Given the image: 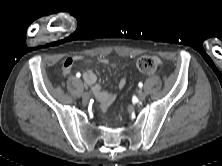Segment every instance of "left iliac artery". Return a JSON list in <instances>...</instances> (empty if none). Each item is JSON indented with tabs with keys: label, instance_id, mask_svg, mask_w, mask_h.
Listing matches in <instances>:
<instances>
[{
	"label": "left iliac artery",
	"instance_id": "1",
	"mask_svg": "<svg viewBox=\"0 0 222 166\" xmlns=\"http://www.w3.org/2000/svg\"><path fill=\"white\" fill-rule=\"evenodd\" d=\"M138 86L141 88V87L143 86V84L140 82V83L138 84Z\"/></svg>",
	"mask_w": 222,
	"mask_h": 166
}]
</instances>
